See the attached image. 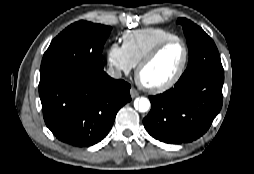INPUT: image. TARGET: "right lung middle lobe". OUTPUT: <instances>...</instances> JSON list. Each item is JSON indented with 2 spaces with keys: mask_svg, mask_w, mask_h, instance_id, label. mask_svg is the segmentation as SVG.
<instances>
[{
  "mask_svg": "<svg viewBox=\"0 0 254 174\" xmlns=\"http://www.w3.org/2000/svg\"><path fill=\"white\" fill-rule=\"evenodd\" d=\"M111 30L87 21L68 26L53 39L43 56L39 86L77 72L103 70L102 50Z\"/></svg>",
  "mask_w": 254,
  "mask_h": 174,
  "instance_id": "obj_1",
  "label": "right lung middle lobe"
}]
</instances>
